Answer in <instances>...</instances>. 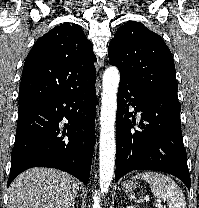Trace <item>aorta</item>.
Wrapping results in <instances>:
<instances>
[{
    "instance_id": "aorta-1",
    "label": "aorta",
    "mask_w": 199,
    "mask_h": 208,
    "mask_svg": "<svg viewBox=\"0 0 199 208\" xmlns=\"http://www.w3.org/2000/svg\"><path fill=\"white\" fill-rule=\"evenodd\" d=\"M120 82L119 70L108 67L103 74L102 105L100 115V193L108 192L112 182L115 165V118L117 91Z\"/></svg>"
}]
</instances>
